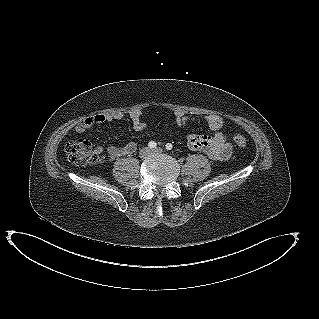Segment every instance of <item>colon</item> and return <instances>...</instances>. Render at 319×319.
Here are the masks:
<instances>
[{"label":"colon","instance_id":"1","mask_svg":"<svg viewBox=\"0 0 319 319\" xmlns=\"http://www.w3.org/2000/svg\"><path fill=\"white\" fill-rule=\"evenodd\" d=\"M233 140L238 147L245 148L248 145L247 139L240 133H235ZM64 151L68 160L76 165H91L98 160V157L92 150L91 144L84 139L67 141Z\"/></svg>","mask_w":319,"mask_h":319}]
</instances>
